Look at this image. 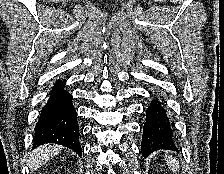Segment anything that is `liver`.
Returning a JSON list of instances; mask_svg holds the SVG:
<instances>
[{"label": "liver", "instance_id": "obj_1", "mask_svg": "<svg viewBox=\"0 0 224 174\" xmlns=\"http://www.w3.org/2000/svg\"><path fill=\"white\" fill-rule=\"evenodd\" d=\"M62 150L60 145H43L33 151L29 164L33 168L44 165L51 157L57 155Z\"/></svg>", "mask_w": 224, "mask_h": 174}]
</instances>
